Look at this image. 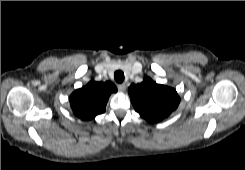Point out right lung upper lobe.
I'll use <instances>...</instances> for the list:
<instances>
[{
    "mask_svg": "<svg viewBox=\"0 0 245 170\" xmlns=\"http://www.w3.org/2000/svg\"><path fill=\"white\" fill-rule=\"evenodd\" d=\"M113 92H117L113 83L91 80L70 95L69 102L73 113L82 120L95 118L105 112L108 98Z\"/></svg>",
    "mask_w": 245,
    "mask_h": 170,
    "instance_id": "cb5924a9",
    "label": "right lung upper lobe"
}]
</instances>
